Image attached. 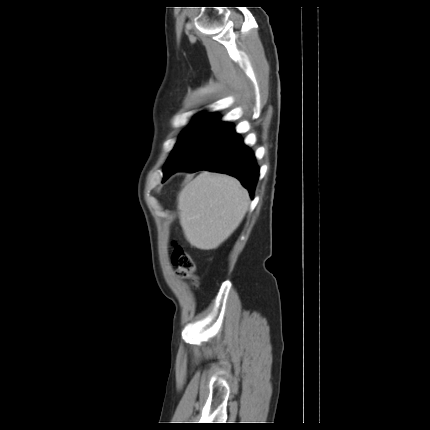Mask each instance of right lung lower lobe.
<instances>
[{
	"mask_svg": "<svg viewBox=\"0 0 430 430\" xmlns=\"http://www.w3.org/2000/svg\"><path fill=\"white\" fill-rule=\"evenodd\" d=\"M199 170L234 176L248 189L251 196L254 194L259 177V167L253 152L244 145L242 138L234 130L177 171L196 172ZM169 176H165L163 181Z\"/></svg>",
	"mask_w": 430,
	"mask_h": 430,
	"instance_id": "obj_1",
	"label": "right lung lower lobe"
}]
</instances>
